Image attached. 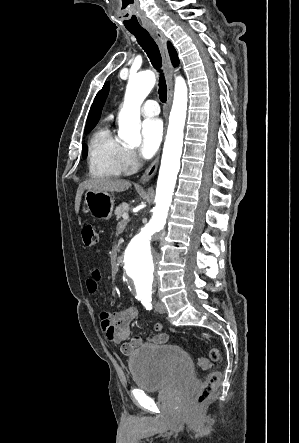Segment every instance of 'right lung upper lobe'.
Wrapping results in <instances>:
<instances>
[{"instance_id":"right-lung-upper-lobe-1","label":"right lung upper lobe","mask_w":299,"mask_h":443,"mask_svg":"<svg viewBox=\"0 0 299 443\" xmlns=\"http://www.w3.org/2000/svg\"><path fill=\"white\" fill-rule=\"evenodd\" d=\"M168 50H169V54H170L173 65L177 66L179 63V59H178L176 50L174 49V47L172 46V44L170 42H168ZM108 91H109V83L107 82L103 86V88L98 92V94L96 95V97L94 99V102L91 106V109H90V112L88 115L86 126L97 124V122L100 118V115H101V110H102L104 101L108 95Z\"/></svg>"}]
</instances>
